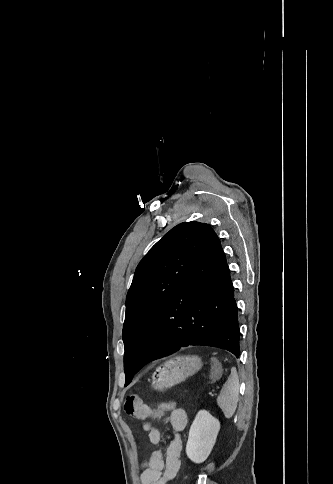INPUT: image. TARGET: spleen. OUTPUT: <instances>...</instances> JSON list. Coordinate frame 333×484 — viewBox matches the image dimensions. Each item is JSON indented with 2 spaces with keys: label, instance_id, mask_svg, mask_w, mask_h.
Returning <instances> with one entry per match:
<instances>
[{
  "label": "spleen",
  "instance_id": "obj_1",
  "mask_svg": "<svg viewBox=\"0 0 333 484\" xmlns=\"http://www.w3.org/2000/svg\"><path fill=\"white\" fill-rule=\"evenodd\" d=\"M239 397V379L235 368L231 370V374L223 386L218 398L217 405L224 413L226 418H231L237 408Z\"/></svg>",
  "mask_w": 333,
  "mask_h": 484
}]
</instances>
